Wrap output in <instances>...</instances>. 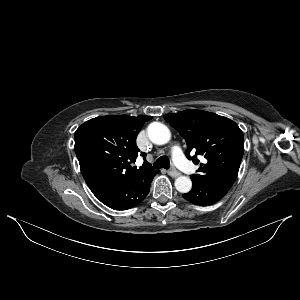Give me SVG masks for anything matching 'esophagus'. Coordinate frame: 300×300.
I'll use <instances>...</instances> for the list:
<instances>
[{
	"label": "esophagus",
	"mask_w": 300,
	"mask_h": 300,
	"mask_svg": "<svg viewBox=\"0 0 300 300\" xmlns=\"http://www.w3.org/2000/svg\"><path fill=\"white\" fill-rule=\"evenodd\" d=\"M168 174L171 176V177H178L181 175V173L179 171H177L176 169H171L168 171Z\"/></svg>",
	"instance_id": "34e87169"
}]
</instances>
